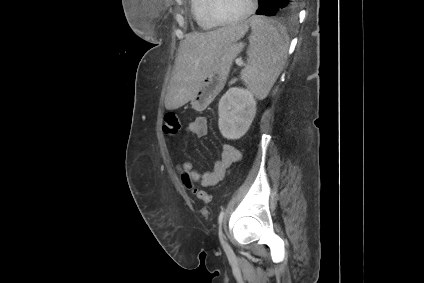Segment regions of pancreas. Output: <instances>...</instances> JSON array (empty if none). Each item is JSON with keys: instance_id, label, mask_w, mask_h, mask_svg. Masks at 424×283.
I'll return each instance as SVG.
<instances>
[{"instance_id": "cf45deb5", "label": "pancreas", "mask_w": 424, "mask_h": 283, "mask_svg": "<svg viewBox=\"0 0 424 283\" xmlns=\"http://www.w3.org/2000/svg\"><path fill=\"white\" fill-rule=\"evenodd\" d=\"M236 81H237V79H232V80L229 82V85L234 84Z\"/></svg>"}]
</instances>
